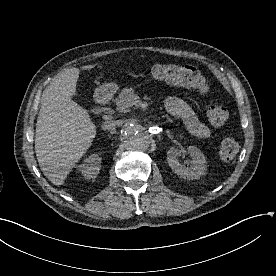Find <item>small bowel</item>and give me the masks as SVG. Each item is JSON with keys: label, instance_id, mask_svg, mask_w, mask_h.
Masks as SVG:
<instances>
[{"label": "small bowel", "instance_id": "obj_1", "mask_svg": "<svg viewBox=\"0 0 276 276\" xmlns=\"http://www.w3.org/2000/svg\"><path fill=\"white\" fill-rule=\"evenodd\" d=\"M165 105L168 112L181 120L191 134L203 138L210 136L209 127L199 120L189 104L183 99L172 96L166 100Z\"/></svg>", "mask_w": 276, "mask_h": 276}]
</instances>
